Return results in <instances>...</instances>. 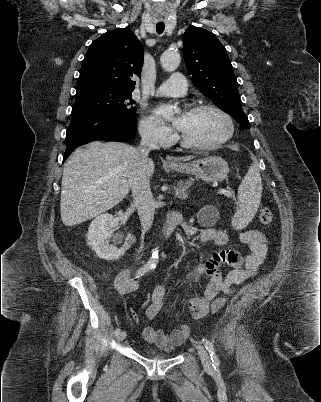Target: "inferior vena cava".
Wrapping results in <instances>:
<instances>
[{"label": "inferior vena cava", "instance_id": "inferior-vena-cava-1", "mask_svg": "<svg viewBox=\"0 0 321 402\" xmlns=\"http://www.w3.org/2000/svg\"><path fill=\"white\" fill-rule=\"evenodd\" d=\"M141 136L140 150L138 152V170L131 180V190L140 218L142 233L144 234L151 228L155 211V201L150 190V182L146 170L149 159L148 155L151 150L159 149V146L157 136L150 130H143Z\"/></svg>", "mask_w": 321, "mask_h": 402}]
</instances>
